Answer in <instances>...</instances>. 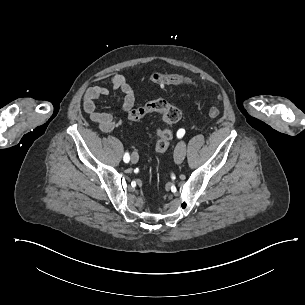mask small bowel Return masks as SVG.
Segmentation results:
<instances>
[{"mask_svg":"<svg viewBox=\"0 0 305 305\" xmlns=\"http://www.w3.org/2000/svg\"><path fill=\"white\" fill-rule=\"evenodd\" d=\"M100 79H109L112 88L123 94L121 109L124 113L128 114L132 109H134L136 102L135 93L123 75L119 73H110L101 76ZM108 94V88L104 86H94L88 89L83 97L84 111L88 114L90 120L97 124L99 129L105 133L114 130L116 127V120L109 113L97 111L96 102Z\"/></svg>","mask_w":305,"mask_h":305,"instance_id":"c3829d8e","label":"small bowel"}]
</instances>
